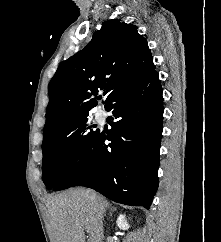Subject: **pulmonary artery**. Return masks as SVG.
Listing matches in <instances>:
<instances>
[{
	"label": "pulmonary artery",
	"instance_id": "pulmonary-artery-1",
	"mask_svg": "<svg viewBox=\"0 0 221 242\" xmlns=\"http://www.w3.org/2000/svg\"><path fill=\"white\" fill-rule=\"evenodd\" d=\"M98 116L101 117V113H99Z\"/></svg>",
	"mask_w": 221,
	"mask_h": 242
}]
</instances>
